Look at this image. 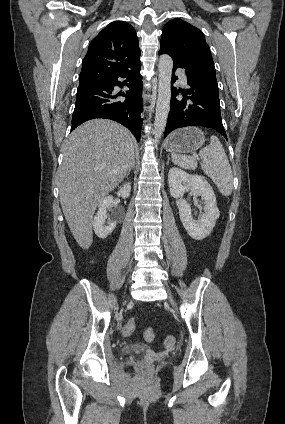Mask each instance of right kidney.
<instances>
[{"label":"right kidney","instance_id":"1","mask_svg":"<svg viewBox=\"0 0 285 424\" xmlns=\"http://www.w3.org/2000/svg\"><path fill=\"white\" fill-rule=\"evenodd\" d=\"M131 192V185L130 183H125L123 187L120 188L118 192V196L122 198H128ZM113 204V197L107 196L102 201L99 202L98 205V212L96 213L94 220H93V228L95 234L101 238L105 239L108 235H110L113 230L116 227V221H109L106 225V219H107V210L111 207Z\"/></svg>","mask_w":285,"mask_h":424}]
</instances>
